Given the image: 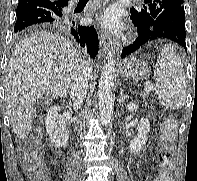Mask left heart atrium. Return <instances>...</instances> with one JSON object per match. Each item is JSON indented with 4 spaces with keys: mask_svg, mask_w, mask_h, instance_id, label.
Here are the masks:
<instances>
[{
    "mask_svg": "<svg viewBox=\"0 0 197 181\" xmlns=\"http://www.w3.org/2000/svg\"><path fill=\"white\" fill-rule=\"evenodd\" d=\"M120 16V11L115 7H111L101 15L100 22L110 30H119L121 28Z\"/></svg>",
    "mask_w": 197,
    "mask_h": 181,
    "instance_id": "left-heart-atrium-1",
    "label": "left heart atrium"
}]
</instances>
